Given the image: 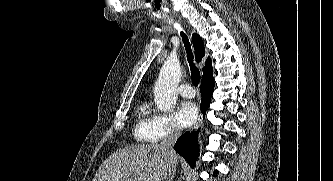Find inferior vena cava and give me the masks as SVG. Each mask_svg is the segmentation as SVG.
<instances>
[{"mask_svg": "<svg viewBox=\"0 0 333 181\" xmlns=\"http://www.w3.org/2000/svg\"><path fill=\"white\" fill-rule=\"evenodd\" d=\"M181 128L178 126H173L171 130L169 131V134L167 137L163 139L161 142V146L166 150L168 153L170 159H171V167L169 168L166 181H173L174 175H175V169L176 166L174 164V158L176 157V153L173 149V146L177 139L181 136Z\"/></svg>", "mask_w": 333, "mask_h": 181, "instance_id": "obj_1", "label": "inferior vena cava"}]
</instances>
